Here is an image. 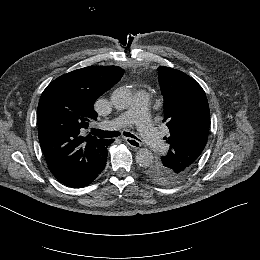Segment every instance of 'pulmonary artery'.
Instances as JSON below:
<instances>
[{"mask_svg":"<svg viewBox=\"0 0 260 260\" xmlns=\"http://www.w3.org/2000/svg\"><path fill=\"white\" fill-rule=\"evenodd\" d=\"M151 97L148 94H141L135 102V108L130 113H123L114 118V125L117 128H126L133 121H138L141 136L149 148L154 152H162L165 149V142L153 129L150 113Z\"/></svg>","mask_w":260,"mask_h":260,"instance_id":"1","label":"pulmonary artery"}]
</instances>
